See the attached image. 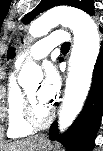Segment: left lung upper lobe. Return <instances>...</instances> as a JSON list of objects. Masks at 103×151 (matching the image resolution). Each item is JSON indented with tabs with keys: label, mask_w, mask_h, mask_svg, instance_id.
<instances>
[{
	"label": "left lung upper lobe",
	"mask_w": 103,
	"mask_h": 151,
	"mask_svg": "<svg viewBox=\"0 0 103 151\" xmlns=\"http://www.w3.org/2000/svg\"><path fill=\"white\" fill-rule=\"evenodd\" d=\"M57 5H68L79 8L90 15H94V1L93 0H42L39 5L26 14L22 19L24 24L31 22L33 18L39 15L41 12L48 10ZM62 58H60L61 61Z\"/></svg>",
	"instance_id": "obj_1"
}]
</instances>
